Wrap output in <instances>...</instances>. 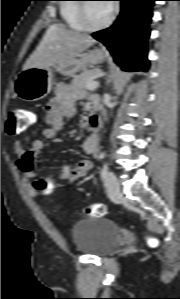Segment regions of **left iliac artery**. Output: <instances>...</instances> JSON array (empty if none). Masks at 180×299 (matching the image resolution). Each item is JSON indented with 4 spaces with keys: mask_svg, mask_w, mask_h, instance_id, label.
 Masks as SVG:
<instances>
[{
    "mask_svg": "<svg viewBox=\"0 0 180 299\" xmlns=\"http://www.w3.org/2000/svg\"><path fill=\"white\" fill-rule=\"evenodd\" d=\"M107 173H108V165L104 164V166L101 170V177L104 179L106 177Z\"/></svg>",
    "mask_w": 180,
    "mask_h": 299,
    "instance_id": "left-iliac-artery-1",
    "label": "left iliac artery"
}]
</instances>
